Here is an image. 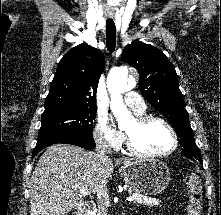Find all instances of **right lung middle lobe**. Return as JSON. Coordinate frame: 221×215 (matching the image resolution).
<instances>
[{
  "label": "right lung middle lobe",
  "instance_id": "dd1d6c3e",
  "mask_svg": "<svg viewBox=\"0 0 221 215\" xmlns=\"http://www.w3.org/2000/svg\"><path fill=\"white\" fill-rule=\"evenodd\" d=\"M96 108H73L42 114L38 139L91 133Z\"/></svg>",
  "mask_w": 221,
  "mask_h": 215
}]
</instances>
